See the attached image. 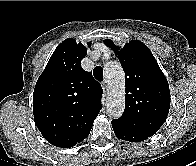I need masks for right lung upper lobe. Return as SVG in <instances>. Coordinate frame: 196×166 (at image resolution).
<instances>
[{"mask_svg":"<svg viewBox=\"0 0 196 166\" xmlns=\"http://www.w3.org/2000/svg\"><path fill=\"white\" fill-rule=\"evenodd\" d=\"M86 51L82 43L64 40L35 85L34 120L54 146L72 147L87 138L102 108L101 85L80 65Z\"/></svg>","mask_w":196,"mask_h":166,"instance_id":"cb5924a9","label":"right lung upper lobe"}]
</instances>
